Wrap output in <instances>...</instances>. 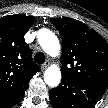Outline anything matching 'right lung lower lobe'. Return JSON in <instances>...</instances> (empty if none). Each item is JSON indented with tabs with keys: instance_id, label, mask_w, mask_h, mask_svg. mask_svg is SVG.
<instances>
[{
	"instance_id": "right-lung-lower-lobe-1",
	"label": "right lung lower lobe",
	"mask_w": 108,
	"mask_h": 108,
	"mask_svg": "<svg viewBox=\"0 0 108 108\" xmlns=\"http://www.w3.org/2000/svg\"><path fill=\"white\" fill-rule=\"evenodd\" d=\"M25 90L22 93H20L18 96L14 97V98L7 99V100H4V101H0V107L9 108V107L14 106L18 102H20L22 100V98L24 97Z\"/></svg>"
}]
</instances>
